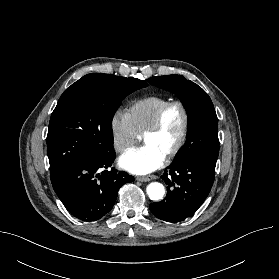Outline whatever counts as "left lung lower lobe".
Returning a JSON list of instances; mask_svg holds the SVG:
<instances>
[{"instance_id": "obj_1", "label": "left lung lower lobe", "mask_w": 279, "mask_h": 279, "mask_svg": "<svg viewBox=\"0 0 279 279\" xmlns=\"http://www.w3.org/2000/svg\"><path fill=\"white\" fill-rule=\"evenodd\" d=\"M214 170L194 161L169 165L161 178L167 184L164 200L151 203V212L159 219L176 223L191 216L208 196Z\"/></svg>"}]
</instances>
